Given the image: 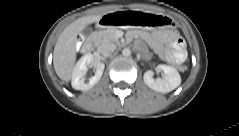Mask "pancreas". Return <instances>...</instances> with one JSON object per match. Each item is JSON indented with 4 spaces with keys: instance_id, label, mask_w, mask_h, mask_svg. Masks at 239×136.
Segmentation results:
<instances>
[{
    "instance_id": "cf45deb5",
    "label": "pancreas",
    "mask_w": 239,
    "mask_h": 136,
    "mask_svg": "<svg viewBox=\"0 0 239 136\" xmlns=\"http://www.w3.org/2000/svg\"><path fill=\"white\" fill-rule=\"evenodd\" d=\"M116 27H110L106 30L99 31L95 33V37L98 39L99 43L104 42H115L119 43V38L116 36Z\"/></svg>"
}]
</instances>
